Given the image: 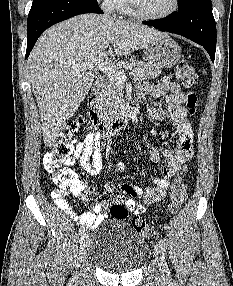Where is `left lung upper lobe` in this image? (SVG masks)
Wrapping results in <instances>:
<instances>
[{"label": "left lung upper lobe", "mask_w": 233, "mask_h": 286, "mask_svg": "<svg viewBox=\"0 0 233 286\" xmlns=\"http://www.w3.org/2000/svg\"><path fill=\"white\" fill-rule=\"evenodd\" d=\"M189 0H178V9L182 8Z\"/></svg>", "instance_id": "1"}]
</instances>
